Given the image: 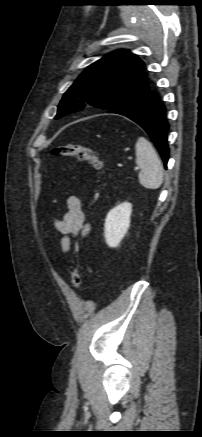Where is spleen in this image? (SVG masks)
<instances>
[{"instance_id": "1", "label": "spleen", "mask_w": 202, "mask_h": 437, "mask_svg": "<svg viewBox=\"0 0 202 437\" xmlns=\"http://www.w3.org/2000/svg\"><path fill=\"white\" fill-rule=\"evenodd\" d=\"M136 164L140 168V184L147 189H158L163 182V166L151 143L144 137L136 142Z\"/></svg>"}]
</instances>
